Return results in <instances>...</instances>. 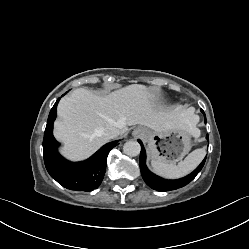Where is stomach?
<instances>
[{
    "label": "stomach",
    "instance_id": "1",
    "mask_svg": "<svg viewBox=\"0 0 249 249\" xmlns=\"http://www.w3.org/2000/svg\"><path fill=\"white\" fill-rule=\"evenodd\" d=\"M191 135L185 127H176L164 132L146 130L148 154L152 160L176 163L190 151Z\"/></svg>",
    "mask_w": 249,
    "mask_h": 249
}]
</instances>
